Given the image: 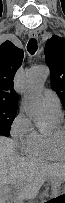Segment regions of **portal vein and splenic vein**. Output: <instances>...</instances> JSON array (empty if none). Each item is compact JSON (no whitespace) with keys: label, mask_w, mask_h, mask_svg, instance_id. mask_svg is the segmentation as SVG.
Wrapping results in <instances>:
<instances>
[{"label":"portal vein and splenic vein","mask_w":65,"mask_h":203,"mask_svg":"<svg viewBox=\"0 0 65 203\" xmlns=\"http://www.w3.org/2000/svg\"><path fill=\"white\" fill-rule=\"evenodd\" d=\"M17 203H23V201H18Z\"/></svg>","instance_id":"obj_1"}]
</instances>
